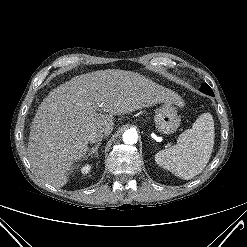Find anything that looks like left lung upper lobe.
I'll list each match as a JSON object with an SVG mask.
<instances>
[{
  "instance_id": "5c2ea615",
  "label": "left lung upper lobe",
  "mask_w": 247,
  "mask_h": 247,
  "mask_svg": "<svg viewBox=\"0 0 247 247\" xmlns=\"http://www.w3.org/2000/svg\"><path fill=\"white\" fill-rule=\"evenodd\" d=\"M200 91L210 96H214L212 89L206 83L202 84Z\"/></svg>"
}]
</instances>
